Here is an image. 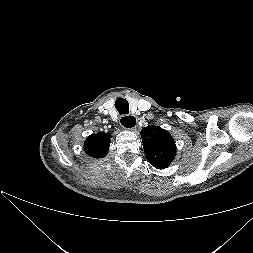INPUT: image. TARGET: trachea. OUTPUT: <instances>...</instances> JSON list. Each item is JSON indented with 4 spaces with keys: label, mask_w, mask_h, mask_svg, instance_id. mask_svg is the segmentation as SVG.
<instances>
[{
    "label": "trachea",
    "mask_w": 253,
    "mask_h": 253,
    "mask_svg": "<svg viewBox=\"0 0 253 253\" xmlns=\"http://www.w3.org/2000/svg\"><path fill=\"white\" fill-rule=\"evenodd\" d=\"M115 107H116L117 111L119 112V114L129 113L128 101L123 98H119L116 100Z\"/></svg>",
    "instance_id": "1"
}]
</instances>
